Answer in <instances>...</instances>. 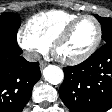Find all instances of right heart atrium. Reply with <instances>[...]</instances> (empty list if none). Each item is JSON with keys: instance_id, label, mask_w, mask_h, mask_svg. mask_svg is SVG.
<instances>
[{"instance_id": "obj_1", "label": "right heart atrium", "mask_w": 112, "mask_h": 112, "mask_svg": "<svg viewBox=\"0 0 112 112\" xmlns=\"http://www.w3.org/2000/svg\"><path fill=\"white\" fill-rule=\"evenodd\" d=\"M17 43L28 59H37L40 54L48 51L49 45L32 33L27 26H22L17 32Z\"/></svg>"}]
</instances>
